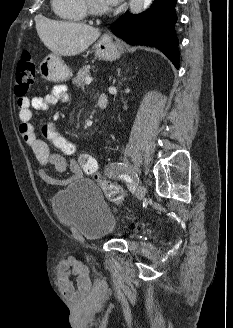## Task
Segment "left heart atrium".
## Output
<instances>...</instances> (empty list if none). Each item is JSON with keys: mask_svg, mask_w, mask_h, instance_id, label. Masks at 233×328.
Listing matches in <instances>:
<instances>
[{"mask_svg": "<svg viewBox=\"0 0 233 328\" xmlns=\"http://www.w3.org/2000/svg\"><path fill=\"white\" fill-rule=\"evenodd\" d=\"M105 6L113 7L116 6L121 0H99Z\"/></svg>", "mask_w": 233, "mask_h": 328, "instance_id": "1", "label": "left heart atrium"}]
</instances>
